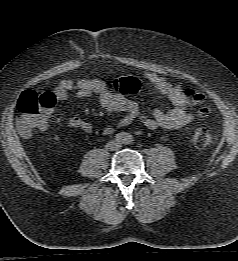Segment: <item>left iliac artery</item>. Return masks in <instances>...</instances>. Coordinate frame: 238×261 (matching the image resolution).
I'll use <instances>...</instances> for the list:
<instances>
[{
    "instance_id": "44dca946",
    "label": "left iliac artery",
    "mask_w": 238,
    "mask_h": 261,
    "mask_svg": "<svg viewBox=\"0 0 238 261\" xmlns=\"http://www.w3.org/2000/svg\"><path fill=\"white\" fill-rule=\"evenodd\" d=\"M132 141H133L132 136L130 134H126L124 143L125 144H131Z\"/></svg>"
}]
</instances>
